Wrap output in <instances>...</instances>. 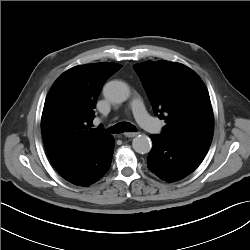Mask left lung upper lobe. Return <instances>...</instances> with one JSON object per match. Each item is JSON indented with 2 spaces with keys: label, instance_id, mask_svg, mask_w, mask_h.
<instances>
[{
  "label": "left lung upper lobe",
  "instance_id": "left-lung-upper-lobe-1",
  "mask_svg": "<svg viewBox=\"0 0 250 250\" xmlns=\"http://www.w3.org/2000/svg\"><path fill=\"white\" fill-rule=\"evenodd\" d=\"M155 114L167 123L162 135L170 140L211 144L214 119L208 91L187 66L170 61L134 65Z\"/></svg>",
  "mask_w": 250,
  "mask_h": 250
}]
</instances>
